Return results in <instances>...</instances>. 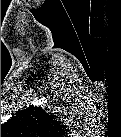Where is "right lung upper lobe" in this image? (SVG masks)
<instances>
[{
	"label": "right lung upper lobe",
	"instance_id": "cb5924a9",
	"mask_svg": "<svg viewBox=\"0 0 121 137\" xmlns=\"http://www.w3.org/2000/svg\"><path fill=\"white\" fill-rule=\"evenodd\" d=\"M61 127L53 115L42 108L29 107L1 125V132L13 135H46L60 130Z\"/></svg>",
	"mask_w": 121,
	"mask_h": 137
}]
</instances>
